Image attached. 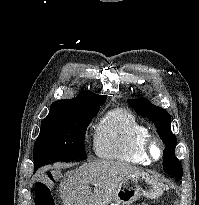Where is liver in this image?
<instances>
[{"label": "liver", "instance_id": "1", "mask_svg": "<svg viewBox=\"0 0 199 205\" xmlns=\"http://www.w3.org/2000/svg\"><path fill=\"white\" fill-rule=\"evenodd\" d=\"M145 174L123 162L98 160L85 163L65 174L60 183V197L64 205H108L125 177ZM90 184L94 185V193Z\"/></svg>", "mask_w": 199, "mask_h": 205}]
</instances>
